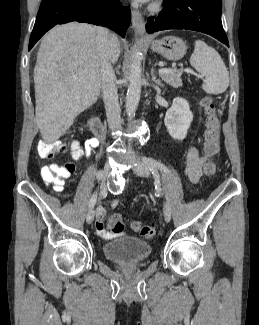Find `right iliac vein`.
<instances>
[{"label":"right iliac vein","mask_w":259,"mask_h":325,"mask_svg":"<svg viewBox=\"0 0 259 325\" xmlns=\"http://www.w3.org/2000/svg\"><path fill=\"white\" fill-rule=\"evenodd\" d=\"M111 171V166L110 164L107 162L104 165L103 171H102V175L100 180L102 181V183L106 180V178L108 177V175L110 174ZM94 216H95V210H94V206L90 208V210L87 213L86 216V221L88 224L92 223L94 220Z\"/></svg>","instance_id":"obj_1"}]
</instances>
